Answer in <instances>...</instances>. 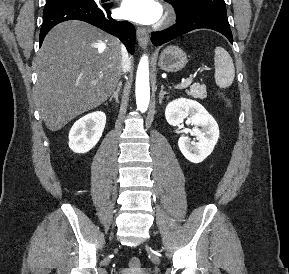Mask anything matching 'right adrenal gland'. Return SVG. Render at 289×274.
<instances>
[{
    "instance_id": "obj_1",
    "label": "right adrenal gland",
    "mask_w": 289,
    "mask_h": 274,
    "mask_svg": "<svg viewBox=\"0 0 289 274\" xmlns=\"http://www.w3.org/2000/svg\"><path fill=\"white\" fill-rule=\"evenodd\" d=\"M121 86H122V83L119 82L118 85H117L116 91H115V92L111 95V97L109 98V101H110V102H111L112 99L114 98L115 101H116V103H119L118 95H119Z\"/></svg>"
}]
</instances>
